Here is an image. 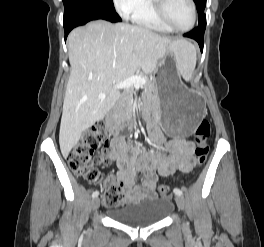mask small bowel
Here are the masks:
<instances>
[{"label": "small bowel", "mask_w": 264, "mask_h": 247, "mask_svg": "<svg viewBox=\"0 0 264 247\" xmlns=\"http://www.w3.org/2000/svg\"><path fill=\"white\" fill-rule=\"evenodd\" d=\"M147 131L156 150L146 152L134 144H127L122 135L115 136L111 142L108 156L118 173L110 179L123 186L126 202L155 198L158 175L190 173L196 163L191 141L183 137L167 138L154 121L149 122ZM140 173L143 174L142 183L136 184Z\"/></svg>", "instance_id": "obj_1"}]
</instances>
